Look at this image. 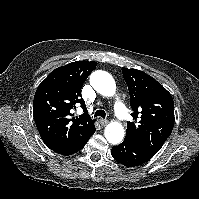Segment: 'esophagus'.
<instances>
[{"instance_id":"esophagus-1","label":"esophagus","mask_w":199,"mask_h":199,"mask_svg":"<svg viewBox=\"0 0 199 199\" xmlns=\"http://www.w3.org/2000/svg\"><path fill=\"white\" fill-rule=\"evenodd\" d=\"M100 124L104 126V125L108 124V120L100 119Z\"/></svg>"}]
</instances>
